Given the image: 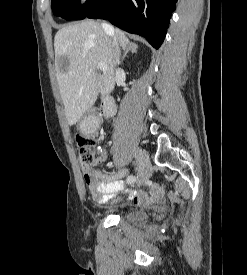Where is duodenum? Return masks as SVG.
Instances as JSON below:
<instances>
[{
  "mask_svg": "<svg viewBox=\"0 0 247 275\" xmlns=\"http://www.w3.org/2000/svg\"><path fill=\"white\" fill-rule=\"evenodd\" d=\"M116 103L115 100L111 96H104L100 110L98 114H96V118L107 119L111 117L116 112ZM95 123V121H92Z\"/></svg>",
  "mask_w": 247,
  "mask_h": 275,
  "instance_id": "1",
  "label": "duodenum"
}]
</instances>
